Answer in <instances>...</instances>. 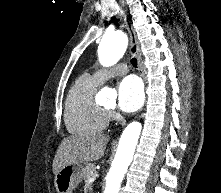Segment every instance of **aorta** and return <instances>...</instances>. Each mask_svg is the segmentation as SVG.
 <instances>
[{
	"mask_svg": "<svg viewBox=\"0 0 221 193\" xmlns=\"http://www.w3.org/2000/svg\"><path fill=\"white\" fill-rule=\"evenodd\" d=\"M128 45L127 36L121 31L107 33L99 45V59L103 65H113L124 55ZM100 94L113 97L111 88H103ZM142 125L130 123L123 131L112 166L106 177L104 193H119L121 182L132 162Z\"/></svg>",
	"mask_w": 221,
	"mask_h": 193,
	"instance_id": "1",
	"label": "aorta"
}]
</instances>
